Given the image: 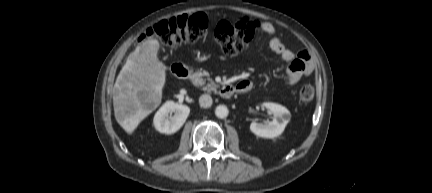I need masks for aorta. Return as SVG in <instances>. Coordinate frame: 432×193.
I'll return each mask as SVG.
<instances>
[{
  "label": "aorta",
  "instance_id": "762f6f07",
  "mask_svg": "<svg viewBox=\"0 0 432 193\" xmlns=\"http://www.w3.org/2000/svg\"><path fill=\"white\" fill-rule=\"evenodd\" d=\"M228 113L229 110L225 105H218L215 109V115L221 119L226 118L228 116Z\"/></svg>",
  "mask_w": 432,
  "mask_h": 193
}]
</instances>
